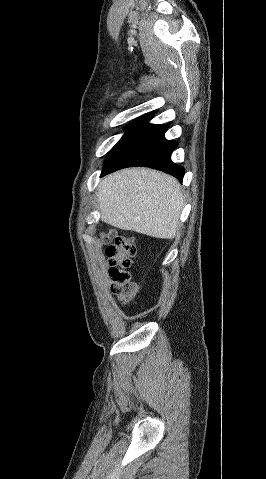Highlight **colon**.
Instances as JSON below:
<instances>
[{"mask_svg": "<svg viewBox=\"0 0 266 479\" xmlns=\"http://www.w3.org/2000/svg\"><path fill=\"white\" fill-rule=\"evenodd\" d=\"M103 240L108 243L106 255L110 265L112 289L116 292L128 290L132 284L129 268L136 254L134 240L131 236H115L113 233L105 234Z\"/></svg>", "mask_w": 266, "mask_h": 479, "instance_id": "5ec220e1", "label": "colon"}]
</instances>
